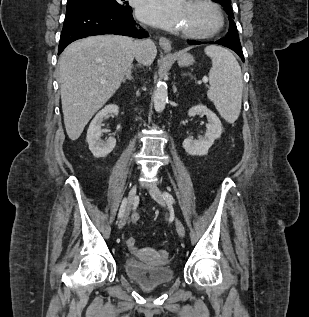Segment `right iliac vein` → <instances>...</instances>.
I'll list each match as a JSON object with an SVG mask.
<instances>
[{
	"label": "right iliac vein",
	"instance_id": "1",
	"mask_svg": "<svg viewBox=\"0 0 309 317\" xmlns=\"http://www.w3.org/2000/svg\"><path fill=\"white\" fill-rule=\"evenodd\" d=\"M136 190H137L136 185H133L129 191L127 206H126L125 212H124L123 216L121 217V220L119 221V224H118L119 229H122L126 225L131 207H132L134 199L136 197Z\"/></svg>",
	"mask_w": 309,
	"mask_h": 317
}]
</instances>
